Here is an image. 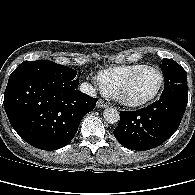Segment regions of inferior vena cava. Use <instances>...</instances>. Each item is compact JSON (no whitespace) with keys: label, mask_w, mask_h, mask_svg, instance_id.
Returning a JSON list of instances; mask_svg holds the SVG:
<instances>
[{"label":"inferior vena cava","mask_w":195,"mask_h":195,"mask_svg":"<svg viewBox=\"0 0 195 195\" xmlns=\"http://www.w3.org/2000/svg\"><path fill=\"white\" fill-rule=\"evenodd\" d=\"M80 91L82 93H85L91 97H95L96 96V92H95V89L93 88L92 85H90L89 83L87 82H84L80 85Z\"/></svg>","instance_id":"obj_1"}]
</instances>
